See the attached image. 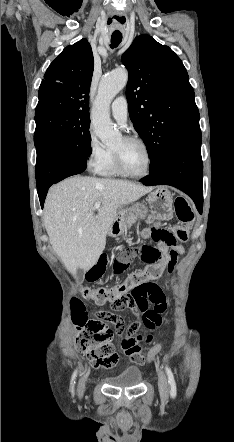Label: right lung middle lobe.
I'll list each match as a JSON object with an SVG mask.
<instances>
[{"mask_svg": "<svg viewBox=\"0 0 234 442\" xmlns=\"http://www.w3.org/2000/svg\"><path fill=\"white\" fill-rule=\"evenodd\" d=\"M34 144L67 145L84 157L91 154L89 133V112L61 111L35 117Z\"/></svg>", "mask_w": 234, "mask_h": 442, "instance_id": "right-lung-middle-lobe-1", "label": "right lung middle lobe"}]
</instances>
